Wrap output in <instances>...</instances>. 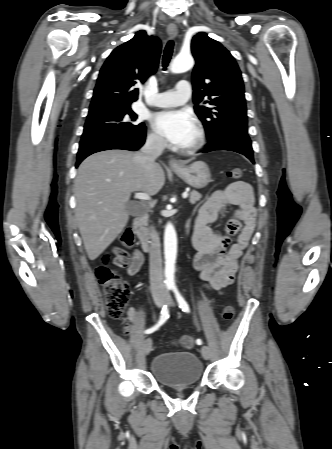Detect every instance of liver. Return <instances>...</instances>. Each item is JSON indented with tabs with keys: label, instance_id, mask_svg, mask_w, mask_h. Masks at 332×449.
Masks as SVG:
<instances>
[{
	"label": "liver",
	"instance_id": "1",
	"mask_svg": "<svg viewBox=\"0 0 332 449\" xmlns=\"http://www.w3.org/2000/svg\"><path fill=\"white\" fill-rule=\"evenodd\" d=\"M135 153L110 150L87 157L75 179L76 219L90 260H95L129 220L131 193H158L165 183L162 167L147 170Z\"/></svg>",
	"mask_w": 332,
	"mask_h": 449
}]
</instances>
